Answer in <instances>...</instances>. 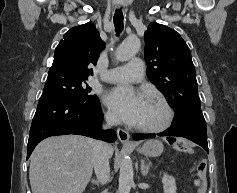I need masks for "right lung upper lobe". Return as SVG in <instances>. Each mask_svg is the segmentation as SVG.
Returning <instances> with one entry per match:
<instances>
[{
    "instance_id": "1",
    "label": "right lung upper lobe",
    "mask_w": 237,
    "mask_h": 193,
    "mask_svg": "<svg viewBox=\"0 0 237 193\" xmlns=\"http://www.w3.org/2000/svg\"><path fill=\"white\" fill-rule=\"evenodd\" d=\"M105 44L92 22L71 28L65 33L55 49L49 72L64 73L74 77L88 78L93 75L91 65Z\"/></svg>"
}]
</instances>
